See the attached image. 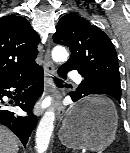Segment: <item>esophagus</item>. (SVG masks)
Masks as SVG:
<instances>
[{
    "label": "esophagus",
    "instance_id": "1",
    "mask_svg": "<svg viewBox=\"0 0 130 153\" xmlns=\"http://www.w3.org/2000/svg\"><path fill=\"white\" fill-rule=\"evenodd\" d=\"M55 75V67L54 64L50 58V51L49 49L47 50L44 58V84H45V91L46 93H53L54 98H55V111L58 119H61L64 114V106L61 104V95L53 89L51 86V77ZM42 111H39V114H41Z\"/></svg>",
    "mask_w": 130,
    "mask_h": 153
}]
</instances>
